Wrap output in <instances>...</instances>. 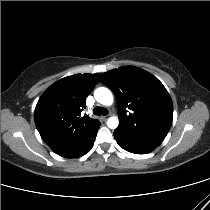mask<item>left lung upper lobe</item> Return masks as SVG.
Wrapping results in <instances>:
<instances>
[{"mask_svg": "<svg viewBox=\"0 0 210 210\" xmlns=\"http://www.w3.org/2000/svg\"><path fill=\"white\" fill-rule=\"evenodd\" d=\"M99 81L116 96L120 123L114 134L159 146L173 119L172 100L163 84L152 74L133 66L108 71Z\"/></svg>", "mask_w": 210, "mask_h": 210, "instance_id": "left-lung-upper-lobe-1", "label": "left lung upper lobe"}]
</instances>
